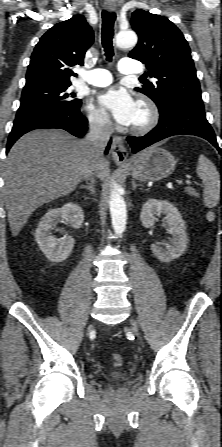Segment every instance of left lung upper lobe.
<instances>
[{
	"label": "left lung upper lobe",
	"mask_w": 222,
	"mask_h": 447,
	"mask_svg": "<svg viewBox=\"0 0 222 447\" xmlns=\"http://www.w3.org/2000/svg\"><path fill=\"white\" fill-rule=\"evenodd\" d=\"M131 26L139 40L129 57L146 64L147 75L157 79L135 90L150 97L159 112L172 103L204 110L191 51L181 31L166 17L141 9L132 13Z\"/></svg>",
	"instance_id": "5c2ea615"
}]
</instances>
